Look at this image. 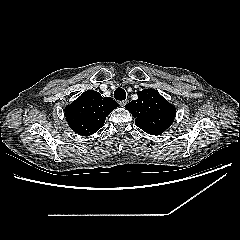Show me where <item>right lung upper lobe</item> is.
I'll return each mask as SVG.
<instances>
[{
	"instance_id": "obj_1",
	"label": "right lung upper lobe",
	"mask_w": 240,
	"mask_h": 240,
	"mask_svg": "<svg viewBox=\"0 0 240 240\" xmlns=\"http://www.w3.org/2000/svg\"><path fill=\"white\" fill-rule=\"evenodd\" d=\"M118 106L112 98L102 97L100 93L89 90L66 106L65 117L73 131L89 136L104 125L106 117Z\"/></svg>"
}]
</instances>
